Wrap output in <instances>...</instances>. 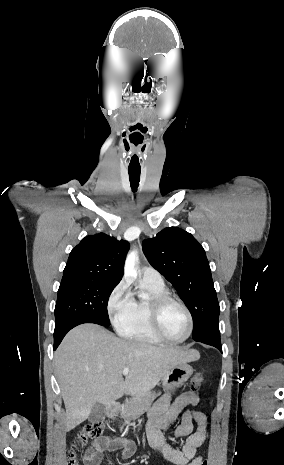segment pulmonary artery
I'll list each match as a JSON object with an SVG mask.
<instances>
[{
	"label": "pulmonary artery",
	"instance_id": "e3ab8cb5",
	"mask_svg": "<svg viewBox=\"0 0 284 465\" xmlns=\"http://www.w3.org/2000/svg\"><path fill=\"white\" fill-rule=\"evenodd\" d=\"M140 277L146 283L161 284L164 283L161 274L154 268L143 267L140 270Z\"/></svg>",
	"mask_w": 284,
	"mask_h": 465
}]
</instances>
